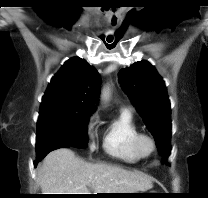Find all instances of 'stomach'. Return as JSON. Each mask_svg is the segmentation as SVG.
<instances>
[{"label":"stomach","instance_id":"1","mask_svg":"<svg viewBox=\"0 0 208 198\" xmlns=\"http://www.w3.org/2000/svg\"><path fill=\"white\" fill-rule=\"evenodd\" d=\"M134 193H142V192H134ZM124 197H127V198H135V197H138V195L131 194V195H127V196H124Z\"/></svg>","mask_w":208,"mask_h":198}]
</instances>
